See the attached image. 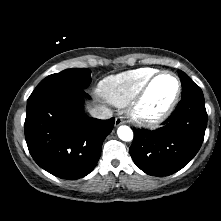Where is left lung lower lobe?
I'll list each match as a JSON object with an SVG mask.
<instances>
[{
    "label": "left lung lower lobe",
    "mask_w": 221,
    "mask_h": 221,
    "mask_svg": "<svg viewBox=\"0 0 221 221\" xmlns=\"http://www.w3.org/2000/svg\"><path fill=\"white\" fill-rule=\"evenodd\" d=\"M206 126L204 97L183 98L163 127L153 131L134 129L130 155L149 175H171L186 166L199 151Z\"/></svg>",
    "instance_id": "obj_1"
}]
</instances>
